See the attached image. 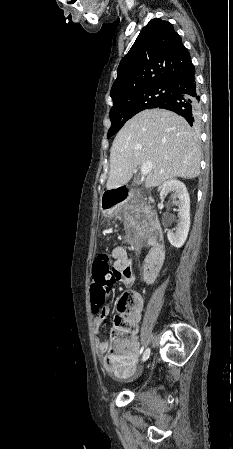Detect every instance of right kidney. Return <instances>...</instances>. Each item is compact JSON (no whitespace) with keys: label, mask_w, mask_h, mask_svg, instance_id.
Masks as SVG:
<instances>
[{"label":"right kidney","mask_w":233,"mask_h":449,"mask_svg":"<svg viewBox=\"0 0 233 449\" xmlns=\"http://www.w3.org/2000/svg\"><path fill=\"white\" fill-rule=\"evenodd\" d=\"M168 194L178 206L179 220L175 232L169 231L167 238L172 246L180 248L185 243L190 228V198L185 184L178 180H170L163 185L160 198L164 199Z\"/></svg>","instance_id":"obj_1"}]
</instances>
